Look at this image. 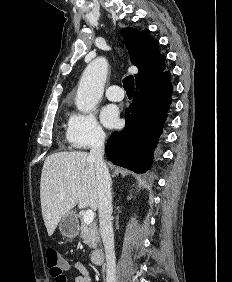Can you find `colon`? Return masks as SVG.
Here are the masks:
<instances>
[{
    "instance_id": "1",
    "label": "colon",
    "mask_w": 232,
    "mask_h": 282,
    "mask_svg": "<svg viewBox=\"0 0 232 282\" xmlns=\"http://www.w3.org/2000/svg\"><path fill=\"white\" fill-rule=\"evenodd\" d=\"M46 261L51 276L55 278L64 276V260L57 250L48 248L46 250Z\"/></svg>"
}]
</instances>
